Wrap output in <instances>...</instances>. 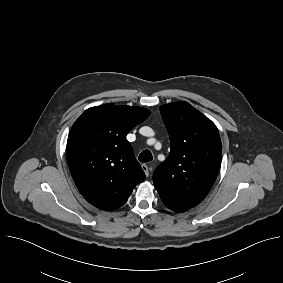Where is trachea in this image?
I'll return each mask as SVG.
<instances>
[{
  "mask_svg": "<svg viewBox=\"0 0 283 283\" xmlns=\"http://www.w3.org/2000/svg\"><path fill=\"white\" fill-rule=\"evenodd\" d=\"M139 161L146 163L153 159V156L149 150H144L138 157Z\"/></svg>",
  "mask_w": 283,
  "mask_h": 283,
  "instance_id": "1",
  "label": "trachea"
}]
</instances>
